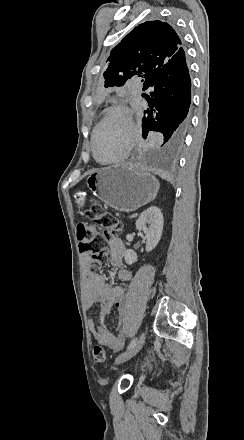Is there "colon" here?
Listing matches in <instances>:
<instances>
[{"label": "colon", "instance_id": "colon-1", "mask_svg": "<svg viewBox=\"0 0 244 440\" xmlns=\"http://www.w3.org/2000/svg\"><path fill=\"white\" fill-rule=\"evenodd\" d=\"M86 217L91 222H82L77 226V238L80 241L79 248L82 252L91 255L93 269L106 261L107 237L111 236V231L121 230L122 222L118 221L113 213H106L103 208L96 203H92L84 211ZM105 229V235L100 232ZM93 361L102 364L106 360V353L102 345L94 344L92 347Z\"/></svg>", "mask_w": 244, "mask_h": 440}]
</instances>
